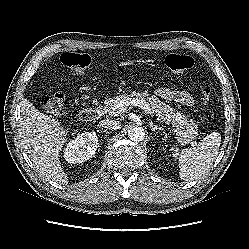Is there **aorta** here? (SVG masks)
<instances>
[{
	"instance_id": "aorta-1",
	"label": "aorta",
	"mask_w": 249,
	"mask_h": 249,
	"mask_svg": "<svg viewBox=\"0 0 249 249\" xmlns=\"http://www.w3.org/2000/svg\"><path fill=\"white\" fill-rule=\"evenodd\" d=\"M128 137L134 142H140L145 138V130L143 127L134 126L130 128L128 132Z\"/></svg>"
}]
</instances>
